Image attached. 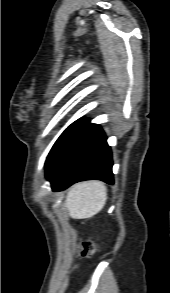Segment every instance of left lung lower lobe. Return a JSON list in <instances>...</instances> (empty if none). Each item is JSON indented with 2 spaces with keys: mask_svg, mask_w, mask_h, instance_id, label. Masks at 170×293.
Returning <instances> with one entry per match:
<instances>
[{
  "mask_svg": "<svg viewBox=\"0 0 170 293\" xmlns=\"http://www.w3.org/2000/svg\"><path fill=\"white\" fill-rule=\"evenodd\" d=\"M54 191L84 180L113 184L112 155L99 125L87 122L46 171Z\"/></svg>",
  "mask_w": 170,
  "mask_h": 293,
  "instance_id": "1",
  "label": "left lung lower lobe"
}]
</instances>
